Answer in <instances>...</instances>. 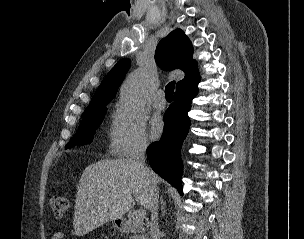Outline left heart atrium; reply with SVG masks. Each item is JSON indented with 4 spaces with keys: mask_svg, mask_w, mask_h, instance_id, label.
Listing matches in <instances>:
<instances>
[{
    "mask_svg": "<svg viewBox=\"0 0 304 239\" xmlns=\"http://www.w3.org/2000/svg\"><path fill=\"white\" fill-rule=\"evenodd\" d=\"M164 123L160 117H155L151 122V135L158 138L163 131Z\"/></svg>",
    "mask_w": 304,
    "mask_h": 239,
    "instance_id": "39dd6f15",
    "label": "left heart atrium"
}]
</instances>
